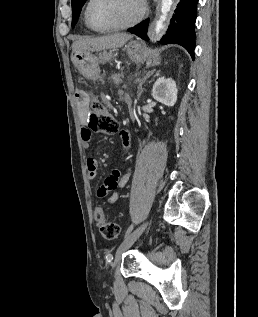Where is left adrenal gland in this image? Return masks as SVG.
I'll list each match as a JSON object with an SVG mask.
<instances>
[{
  "instance_id": "1",
  "label": "left adrenal gland",
  "mask_w": 258,
  "mask_h": 317,
  "mask_svg": "<svg viewBox=\"0 0 258 317\" xmlns=\"http://www.w3.org/2000/svg\"><path fill=\"white\" fill-rule=\"evenodd\" d=\"M152 74H154V70H148V72H146L144 78H140V80H138L139 82V86H138V94H137V98H140L143 90H142V84H144V82H146L147 78H149V76H152Z\"/></svg>"
}]
</instances>
